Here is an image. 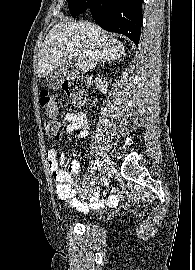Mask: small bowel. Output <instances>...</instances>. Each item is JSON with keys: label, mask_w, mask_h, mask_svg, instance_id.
<instances>
[{"label": "small bowel", "mask_w": 195, "mask_h": 270, "mask_svg": "<svg viewBox=\"0 0 195 270\" xmlns=\"http://www.w3.org/2000/svg\"><path fill=\"white\" fill-rule=\"evenodd\" d=\"M62 124L65 125L67 134L78 133L80 138H86L89 135L87 117L81 112L66 113L62 119ZM47 160L54 179L59 175H70L76 177L80 170V163L77 160H73L69 164V174L63 171L62 167L66 161V154L64 151L59 154L56 148H50L47 151ZM85 192V184L69 188L67 192H61L57 189L58 197L62 201L68 202L72 207L81 212H87L90 207L99 208L104 205L113 207L116 206L119 201V195L116 194H111L106 199H101L100 190L98 188L92 190L90 204L75 197L77 193L83 197Z\"/></svg>", "instance_id": "c3829d8e"}]
</instances>
